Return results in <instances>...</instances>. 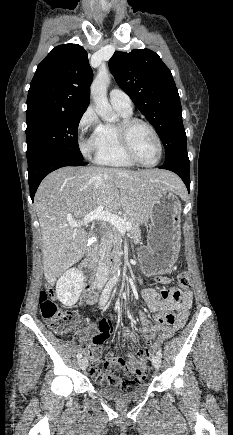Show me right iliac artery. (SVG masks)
<instances>
[{"instance_id": "obj_1", "label": "right iliac artery", "mask_w": 233, "mask_h": 435, "mask_svg": "<svg viewBox=\"0 0 233 435\" xmlns=\"http://www.w3.org/2000/svg\"><path fill=\"white\" fill-rule=\"evenodd\" d=\"M116 283V279H111L108 284L106 285L105 289L102 292L101 298H100V305L104 306L105 303L107 302L108 298H109V294L113 288V286ZM77 358L80 359L82 358V354L78 353L77 354Z\"/></svg>"}]
</instances>
